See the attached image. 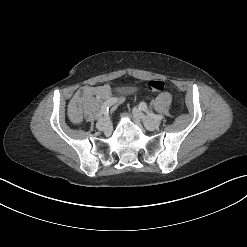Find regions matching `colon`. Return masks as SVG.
<instances>
[{
    "label": "colon",
    "instance_id": "1",
    "mask_svg": "<svg viewBox=\"0 0 247 247\" xmlns=\"http://www.w3.org/2000/svg\"><path fill=\"white\" fill-rule=\"evenodd\" d=\"M148 90L151 92H160L164 90L165 88V83L160 80H151L148 82Z\"/></svg>",
    "mask_w": 247,
    "mask_h": 247
}]
</instances>
